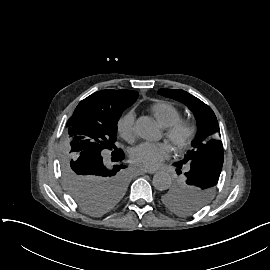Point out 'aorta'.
I'll return each instance as SVG.
<instances>
[{
	"instance_id": "762f6f07",
	"label": "aorta",
	"mask_w": 270,
	"mask_h": 270,
	"mask_svg": "<svg viewBox=\"0 0 270 270\" xmlns=\"http://www.w3.org/2000/svg\"><path fill=\"white\" fill-rule=\"evenodd\" d=\"M172 183L171 177L168 173L158 172L153 177V186L159 190H166Z\"/></svg>"
}]
</instances>
